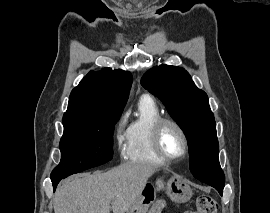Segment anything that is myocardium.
Segmentation results:
<instances>
[{
	"instance_id": "myocardium-1",
	"label": "myocardium",
	"mask_w": 270,
	"mask_h": 213,
	"mask_svg": "<svg viewBox=\"0 0 270 213\" xmlns=\"http://www.w3.org/2000/svg\"><path fill=\"white\" fill-rule=\"evenodd\" d=\"M168 125H171L174 128H176V130L180 133L183 139L184 150H183V153L179 157H171L167 155L162 149L161 136H162L164 128ZM151 143H152V147L155 153L161 159L170 163L185 159L188 156L189 150H190L189 139H188L185 129L182 127V125L179 122H177L176 120L172 118H167V117H161L155 122L152 128V132H151Z\"/></svg>"
}]
</instances>
